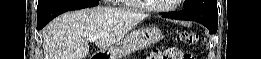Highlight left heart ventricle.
Returning a JSON list of instances; mask_svg holds the SVG:
<instances>
[{
  "label": "left heart ventricle",
  "mask_w": 261,
  "mask_h": 59,
  "mask_svg": "<svg viewBox=\"0 0 261 59\" xmlns=\"http://www.w3.org/2000/svg\"><path fill=\"white\" fill-rule=\"evenodd\" d=\"M175 1L176 0H153L150 1V3L155 6L167 7L173 5Z\"/></svg>",
  "instance_id": "obj_1"
}]
</instances>
